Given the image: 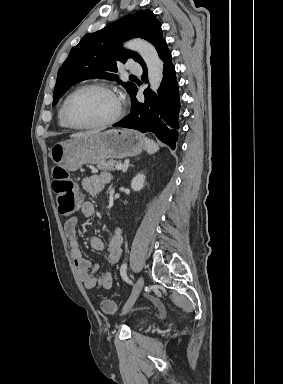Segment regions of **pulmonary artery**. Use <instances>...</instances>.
Wrapping results in <instances>:
<instances>
[{
	"label": "pulmonary artery",
	"mask_w": 283,
	"mask_h": 384,
	"mask_svg": "<svg viewBox=\"0 0 283 384\" xmlns=\"http://www.w3.org/2000/svg\"><path fill=\"white\" fill-rule=\"evenodd\" d=\"M127 70L131 71L132 75H141L142 69L140 64H137L136 61H129L127 65Z\"/></svg>",
	"instance_id": "obj_1"
}]
</instances>
